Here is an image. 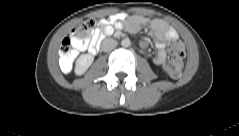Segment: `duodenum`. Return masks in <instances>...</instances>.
I'll list each match as a JSON object with an SVG mask.
<instances>
[{
	"instance_id": "1",
	"label": "duodenum",
	"mask_w": 239,
	"mask_h": 136,
	"mask_svg": "<svg viewBox=\"0 0 239 136\" xmlns=\"http://www.w3.org/2000/svg\"><path fill=\"white\" fill-rule=\"evenodd\" d=\"M104 37V35L100 36L96 43L91 46L89 49L91 54H95L99 50L100 42L102 39H104Z\"/></svg>"
}]
</instances>
